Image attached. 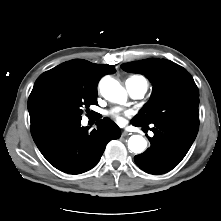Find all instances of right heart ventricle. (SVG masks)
I'll list each match as a JSON object with an SVG mask.
<instances>
[{"label": "right heart ventricle", "instance_id": "obj_1", "mask_svg": "<svg viewBox=\"0 0 221 221\" xmlns=\"http://www.w3.org/2000/svg\"><path fill=\"white\" fill-rule=\"evenodd\" d=\"M130 79H137V80L143 81V82H145L147 84V81L144 78H142V77H132Z\"/></svg>", "mask_w": 221, "mask_h": 221}]
</instances>
